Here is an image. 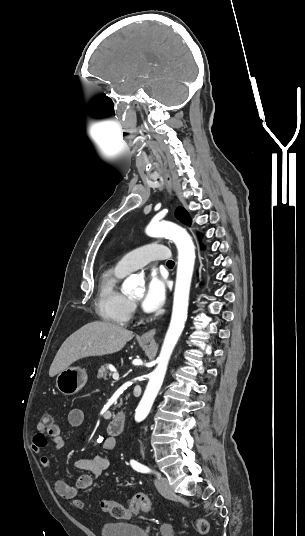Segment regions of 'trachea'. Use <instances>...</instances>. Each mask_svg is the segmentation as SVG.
<instances>
[{
  "label": "trachea",
  "mask_w": 305,
  "mask_h": 536,
  "mask_svg": "<svg viewBox=\"0 0 305 536\" xmlns=\"http://www.w3.org/2000/svg\"><path fill=\"white\" fill-rule=\"evenodd\" d=\"M158 181H159V179H158ZM174 264H175V263H174V261H172V260H168V261H167V266H168V268H170V269H172V268L174 267Z\"/></svg>",
  "instance_id": "3493384b"
}]
</instances>
